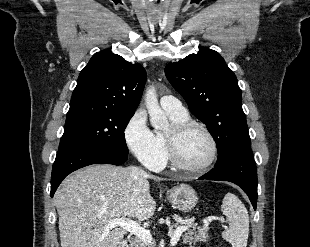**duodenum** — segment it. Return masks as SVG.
Here are the masks:
<instances>
[{"label": "duodenum", "instance_id": "410a0bca", "mask_svg": "<svg viewBox=\"0 0 310 247\" xmlns=\"http://www.w3.org/2000/svg\"><path fill=\"white\" fill-rule=\"evenodd\" d=\"M118 247H128V244L125 241H121Z\"/></svg>", "mask_w": 310, "mask_h": 247}]
</instances>
